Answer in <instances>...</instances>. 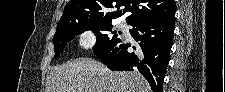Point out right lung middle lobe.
Here are the masks:
<instances>
[{"label": "right lung middle lobe", "instance_id": "right-lung-middle-lobe-1", "mask_svg": "<svg viewBox=\"0 0 225 92\" xmlns=\"http://www.w3.org/2000/svg\"><path fill=\"white\" fill-rule=\"evenodd\" d=\"M112 27L113 25L111 22H91L87 20H80L71 23L67 27L57 29L53 38L55 58H57L60 52L63 51L68 41L72 40L75 35L88 29L91 30L97 38L96 44L93 47L94 52L108 48L109 46L120 41L117 37L120 32L113 31L112 34L114 35L112 37L106 33L107 31H112Z\"/></svg>", "mask_w": 225, "mask_h": 92}]
</instances>
